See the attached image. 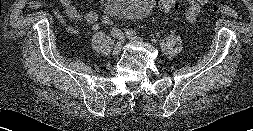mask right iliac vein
Listing matches in <instances>:
<instances>
[{"instance_id": "right-iliac-vein-1", "label": "right iliac vein", "mask_w": 253, "mask_h": 131, "mask_svg": "<svg viewBox=\"0 0 253 131\" xmlns=\"http://www.w3.org/2000/svg\"><path fill=\"white\" fill-rule=\"evenodd\" d=\"M123 45H124L123 41H118L117 44L115 45L114 49H113L112 55L117 56L120 53Z\"/></svg>"}]
</instances>
